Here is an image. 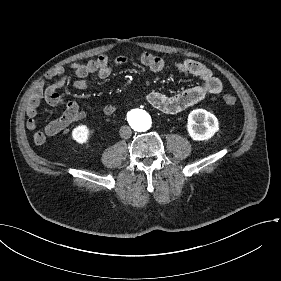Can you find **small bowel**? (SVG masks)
I'll list each match as a JSON object with an SVG mask.
<instances>
[{"instance_id":"small-bowel-1","label":"small bowel","mask_w":281,"mask_h":281,"mask_svg":"<svg viewBox=\"0 0 281 281\" xmlns=\"http://www.w3.org/2000/svg\"><path fill=\"white\" fill-rule=\"evenodd\" d=\"M129 61L130 59L126 55H120L113 59L106 55H100L95 60L86 63H74L72 64V69L77 79L74 81L73 86L75 89L83 90L88 86L90 75L96 74L100 79H106L111 75L113 67L125 66ZM138 61L154 73H160L166 67V63L161 57L150 53L140 54ZM174 68L185 76L200 79L201 82L192 88L171 96L157 91L147 93L146 100L148 104L161 113L167 115L178 114L207 96L219 94L223 89L222 81L214 75L210 68L202 63L187 59L175 63ZM46 78L48 80L57 79L46 87L42 85L37 87L26 109L27 128L31 131L37 129L36 116L42 101L54 108L63 107L64 111L57 119L46 124L43 132H35L33 142L37 146L45 142L46 136L53 137L72 123L85 118V112L76 101L66 100L58 92L67 81L64 69L55 67L48 72ZM116 111L117 107L114 104H106L102 108L105 115H113Z\"/></svg>"}]
</instances>
